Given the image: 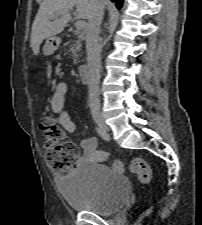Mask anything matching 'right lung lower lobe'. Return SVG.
<instances>
[{
    "label": "right lung lower lobe",
    "mask_w": 202,
    "mask_h": 225,
    "mask_svg": "<svg viewBox=\"0 0 202 225\" xmlns=\"http://www.w3.org/2000/svg\"><path fill=\"white\" fill-rule=\"evenodd\" d=\"M111 1L116 2V6L118 8H120L122 6V3H123V0H111Z\"/></svg>",
    "instance_id": "obj_1"
}]
</instances>
